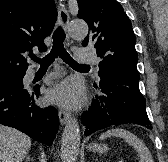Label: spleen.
Instances as JSON below:
<instances>
[{
    "label": "spleen",
    "instance_id": "1",
    "mask_svg": "<svg viewBox=\"0 0 168 162\" xmlns=\"http://www.w3.org/2000/svg\"><path fill=\"white\" fill-rule=\"evenodd\" d=\"M108 137H120L123 138L129 145L133 146L134 150L138 153L139 162H154L149 149L145 143L140 140L133 133L125 129H110L105 133L101 134L99 139L103 140Z\"/></svg>",
    "mask_w": 168,
    "mask_h": 162
}]
</instances>
